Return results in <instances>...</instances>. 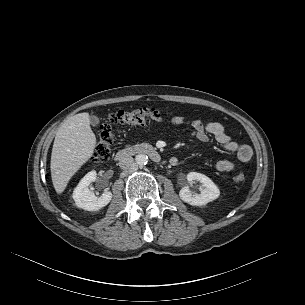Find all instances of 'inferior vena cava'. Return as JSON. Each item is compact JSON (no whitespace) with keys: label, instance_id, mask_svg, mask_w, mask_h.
<instances>
[{"label":"inferior vena cava","instance_id":"obj_1","mask_svg":"<svg viewBox=\"0 0 305 305\" xmlns=\"http://www.w3.org/2000/svg\"><path fill=\"white\" fill-rule=\"evenodd\" d=\"M133 162H134V159L132 156H129V155L123 156L119 160V166L121 169L127 170V169L132 168Z\"/></svg>","mask_w":305,"mask_h":305}]
</instances>
